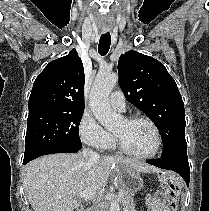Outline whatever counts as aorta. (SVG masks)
<instances>
[{"label":"aorta","instance_id":"obj_1","mask_svg":"<svg viewBox=\"0 0 209 211\" xmlns=\"http://www.w3.org/2000/svg\"><path fill=\"white\" fill-rule=\"evenodd\" d=\"M118 82V75L112 72H99L96 76L89 97V106L95 118L106 129L117 126L121 116L114 112L109 103L111 90ZM110 211H120L118 200L113 198Z\"/></svg>","mask_w":209,"mask_h":211}]
</instances>
